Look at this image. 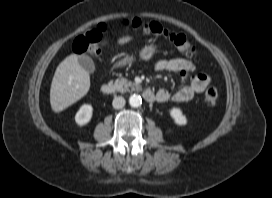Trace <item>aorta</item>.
Wrapping results in <instances>:
<instances>
[{"instance_id": "aorta-1", "label": "aorta", "mask_w": 272, "mask_h": 198, "mask_svg": "<svg viewBox=\"0 0 272 198\" xmlns=\"http://www.w3.org/2000/svg\"><path fill=\"white\" fill-rule=\"evenodd\" d=\"M129 104L131 107H139L142 104V98L140 95L133 94L129 98Z\"/></svg>"}]
</instances>
